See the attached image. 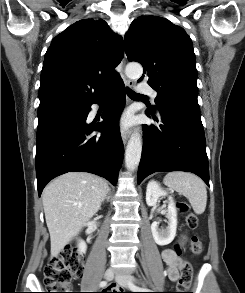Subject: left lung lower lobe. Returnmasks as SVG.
<instances>
[{
  "mask_svg": "<svg viewBox=\"0 0 245 293\" xmlns=\"http://www.w3.org/2000/svg\"><path fill=\"white\" fill-rule=\"evenodd\" d=\"M149 118L159 126L143 125L144 142L138 169V184L154 172L188 171L198 175L209 186V164L200 111L181 105L158 107Z\"/></svg>",
  "mask_w": 245,
  "mask_h": 293,
  "instance_id": "1",
  "label": "left lung lower lobe"
}]
</instances>
